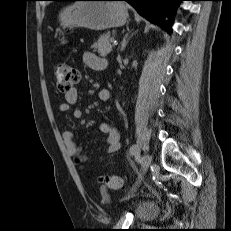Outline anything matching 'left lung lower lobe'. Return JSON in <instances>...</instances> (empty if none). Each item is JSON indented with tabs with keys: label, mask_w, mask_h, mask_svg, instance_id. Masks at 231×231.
I'll return each mask as SVG.
<instances>
[{
	"label": "left lung lower lobe",
	"mask_w": 231,
	"mask_h": 231,
	"mask_svg": "<svg viewBox=\"0 0 231 231\" xmlns=\"http://www.w3.org/2000/svg\"><path fill=\"white\" fill-rule=\"evenodd\" d=\"M55 1H75V0H55ZM128 2L139 14L153 23L163 27L167 32H171V20L165 21L167 15L174 13L175 7L183 0H121Z\"/></svg>",
	"instance_id": "left-lung-lower-lobe-1"
}]
</instances>
